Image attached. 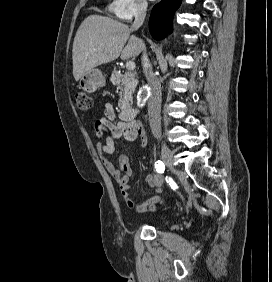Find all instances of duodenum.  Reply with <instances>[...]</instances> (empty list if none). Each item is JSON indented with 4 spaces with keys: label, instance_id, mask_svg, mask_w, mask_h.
I'll list each match as a JSON object with an SVG mask.
<instances>
[{
    "label": "duodenum",
    "instance_id": "obj_1",
    "mask_svg": "<svg viewBox=\"0 0 272 282\" xmlns=\"http://www.w3.org/2000/svg\"><path fill=\"white\" fill-rule=\"evenodd\" d=\"M139 114V109L133 105L126 104L121 111V118L123 120H133Z\"/></svg>",
    "mask_w": 272,
    "mask_h": 282
}]
</instances>
